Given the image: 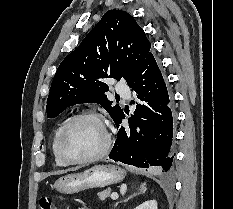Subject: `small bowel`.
I'll list each match as a JSON object with an SVG mask.
<instances>
[{
	"instance_id": "1",
	"label": "small bowel",
	"mask_w": 233,
	"mask_h": 209,
	"mask_svg": "<svg viewBox=\"0 0 233 209\" xmlns=\"http://www.w3.org/2000/svg\"><path fill=\"white\" fill-rule=\"evenodd\" d=\"M77 209H86V208H84V207H78Z\"/></svg>"
}]
</instances>
